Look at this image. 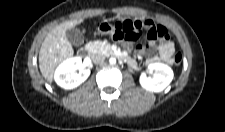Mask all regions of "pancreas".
<instances>
[{
    "mask_svg": "<svg viewBox=\"0 0 225 132\" xmlns=\"http://www.w3.org/2000/svg\"><path fill=\"white\" fill-rule=\"evenodd\" d=\"M89 50L92 53H98L105 56L113 55V51L111 49V45L102 41H94L88 44Z\"/></svg>",
    "mask_w": 225,
    "mask_h": 132,
    "instance_id": "1",
    "label": "pancreas"
}]
</instances>
